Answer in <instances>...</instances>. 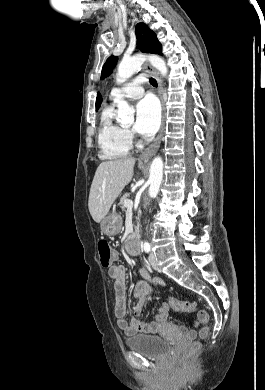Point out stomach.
<instances>
[{"instance_id":"obj_1","label":"stomach","mask_w":265,"mask_h":390,"mask_svg":"<svg viewBox=\"0 0 265 390\" xmlns=\"http://www.w3.org/2000/svg\"><path fill=\"white\" fill-rule=\"evenodd\" d=\"M122 220L120 215L115 212H109L101 221V231L107 236H114L121 230Z\"/></svg>"}]
</instances>
